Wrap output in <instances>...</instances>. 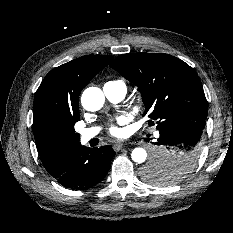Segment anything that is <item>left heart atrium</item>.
Listing matches in <instances>:
<instances>
[{
	"mask_svg": "<svg viewBox=\"0 0 233 233\" xmlns=\"http://www.w3.org/2000/svg\"><path fill=\"white\" fill-rule=\"evenodd\" d=\"M110 133L114 136H118L120 134V130L117 127L112 126L110 128Z\"/></svg>",
	"mask_w": 233,
	"mask_h": 233,
	"instance_id": "obj_1",
	"label": "left heart atrium"
}]
</instances>
